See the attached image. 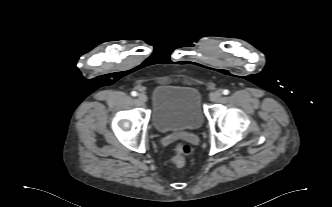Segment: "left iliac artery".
<instances>
[{
	"instance_id": "left-iliac-artery-1",
	"label": "left iliac artery",
	"mask_w": 332,
	"mask_h": 207,
	"mask_svg": "<svg viewBox=\"0 0 332 207\" xmlns=\"http://www.w3.org/2000/svg\"><path fill=\"white\" fill-rule=\"evenodd\" d=\"M223 94L224 95H228L229 94V90H227V89L223 90Z\"/></svg>"
}]
</instances>
